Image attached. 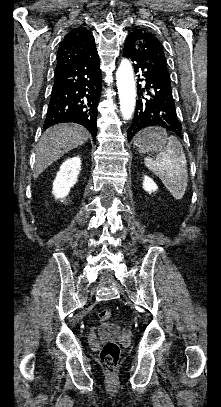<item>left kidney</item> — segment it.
Wrapping results in <instances>:
<instances>
[{"label":"left kidney","mask_w":221,"mask_h":407,"mask_svg":"<svg viewBox=\"0 0 221 407\" xmlns=\"http://www.w3.org/2000/svg\"><path fill=\"white\" fill-rule=\"evenodd\" d=\"M143 188L145 191L152 193L158 189L156 183L148 176H144Z\"/></svg>","instance_id":"5707ae66"}]
</instances>
